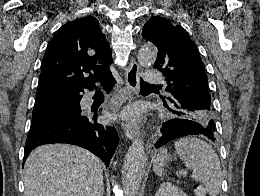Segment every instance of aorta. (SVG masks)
I'll return each instance as SVG.
<instances>
[{
	"instance_id": "762f6f07",
	"label": "aorta",
	"mask_w": 260,
	"mask_h": 196,
	"mask_svg": "<svg viewBox=\"0 0 260 196\" xmlns=\"http://www.w3.org/2000/svg\"><path fill=\"white\" fill-rule=\"evenodd\" d=\"M158 50L152 44L144 45L138 52V63L148 67L156 61ZM148 164L144 141L137 137L129 147L123 167V187L126 196H136Z\"/></svg>"
}]
</instances>
